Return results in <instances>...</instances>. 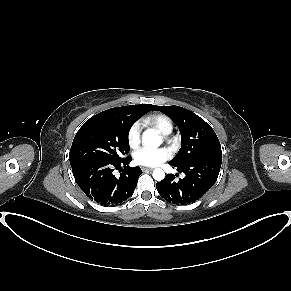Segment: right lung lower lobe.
Wrapping results in <instances>:
<instances>
[{
    "label": "right lung lower lobe",
    "mask_w": 291,
    "mask_h": 291,
    "mask_svg": "<svg viewBox=\"0 0 291 291\" xmlns=\"http://www.w3.org/2000/svg\"><path fill=\"white\" fill-rule=\"evenodd\" d=\"M131 160L89 161L71 167L76 183L90 199L104 206H115L133 195L142 174L140 167L128 166ZM121 166L124 167L123 172L116 178L112 172Z\"/></svg>",
    "instance_id": "98d812e1"
}]
</instances>
